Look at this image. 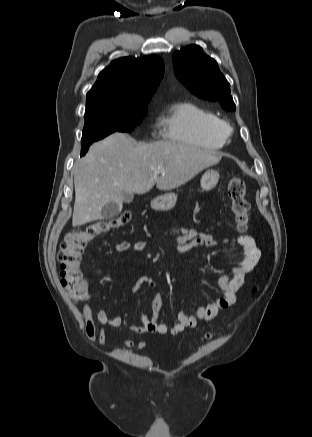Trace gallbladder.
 Instances as JSON below:
<instances>
[{
  "mask_svg": "<svg viewBox=\"0 0 312 437\" xmlns=\"http://www.w3.org/2000/svg\"><path fill=\"white\" fill-rule=\"evenodd\" d=\"M133 200L132 193H124L123 201L125 203H130ZM122 210V205L117 202H109L103 206L101 210L102 218L105 220H110L117 217Z\"/></svg>",
  "mask_w": 312,
  "mask_h": 437,
  "instance_id": "1",
  "label": "gallbladder"
}]
</instances>
